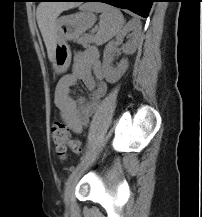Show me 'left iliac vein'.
Returning a JSON list of instances; mask_svg holds the SVG:
<instances>
[{
	"label": "left iliac vein",
	"instance_id": "left-iliac-vein-1",
	"mask_svg": "<svg viewBox=\"0 0 202 217\" xmlns=\"http://www.w3.org/2000/svg\"><path fill=\"white\" fill-rule=\"evenodd\" d=\"M78 176L74 177L73 180L66 186L65 194H64V202L66 207L70 206L72 194L77 183Z\"/></svg>",
	"mask_w": 202,
	"mask_h": 217
}]
</instances>
